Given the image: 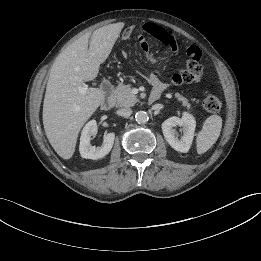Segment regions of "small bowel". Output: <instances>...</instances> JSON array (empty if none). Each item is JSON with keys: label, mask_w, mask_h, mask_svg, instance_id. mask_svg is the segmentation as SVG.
<instances>
[{"label": "small bowel", "mask_w": 261, "mask_h": 261, "mask_svg": "<svg viewBox=\"0 0 261 261\" xmlns=\"http://www.w3.org/2000/svg\"><path fill=\"white\" fill-rule=\"evenodd\" d=\"M146 35L167 45L173 53L178 52V44L173 34L154 23H145L141 28V33L138 35V40L141 49L150 62L159 64L162 63V59L158 58L150 51V45L146 39ZM131 36L132 34H130V37ZM187 55L189 57L187 68L181 72L172 74L169 79L170 84L180 85L184 82H193L200 79L202 75V66L200 64L201 53L199 49L196 46H190L187 49ZM148 80L153 86L154 92L162 93L168 87V84L163 83L153 74L149 76Z\"/></svg>", "instance_id": "obj_1"}]
</instances>
